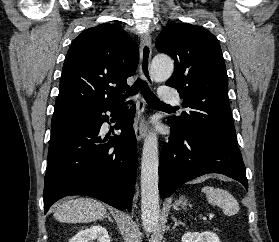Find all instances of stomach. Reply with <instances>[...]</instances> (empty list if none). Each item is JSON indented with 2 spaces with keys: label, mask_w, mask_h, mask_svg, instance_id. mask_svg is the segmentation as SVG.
Returning a JSON list of instances; mask_svg holds the SVG:
<instances>
[{
  "label": "stomach",
  "mask_w": 279,
  "mask_h": 242,
  "mask_svg": "<svg viewBox=\"0 0 279 242\" xmlns=\"http://www.w3.org/2000/svg\"><path fill=\"white\" fill-rule=\"evenodd\" d=\"M176 203L179 205V204H182L183 206H185L187 204V200L183 197H181L179 200L176 201Z\"/></svg>",
  "instance_id": "stomach-1"
}]
</instances>
